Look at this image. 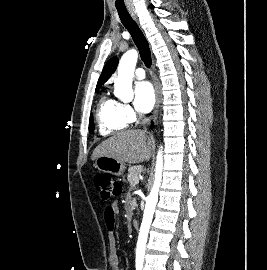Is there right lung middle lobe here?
Listing matches in <instances>:
<instances>
[{
    "instance_id": "1",
    "label": "right lung middle lobe",
    "mask_w": 267,
    "mask_h": 270,
    "mask_svg": "<svg viewBox=\"0 0 267 270\" xmlns=\"http://www.w3.org/2000/svg\"><path fill=\"white\" fill-rule=\"evenodd\" d=\"M98 91V89H96V92ZM94 130V122H93V116H90V120H89V132H93Z\"/></svg>"
}]
</instances>
